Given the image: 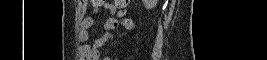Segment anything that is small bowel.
<instances>
[{"instance_id":"obj_1","label":"small bowel","mask_w":267,"mask_h":60,"mask_svg":"<svg viewBox=\"0 0 267 60\" xmlns=\"http://www.w3.org/2000/svg\"><path fill=\"white\" fill-rule=\"evenodd\" d=\"M127 5V4H125ZM123 5V6H125ZM102 9H107L111 13H116L119 9L117 4L102 3L101 7L96 10L92 15L86 17L82 22V29L80 32V39L86 41L89 38V28L93 25L96 18L102 13ZM115 18H109L104 25V34L99 38L95 39L90 45L84 47V51L91 56H97L100 52V49L107 44L108 42L114 39V34L112 33L111 23L114 22ZM126 27H130L129 21H124Z\"/></svg>"}]
</instances>
